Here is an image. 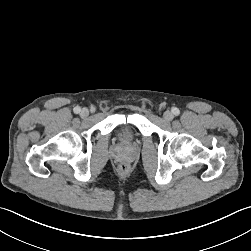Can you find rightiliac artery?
<instances>
[{"label": "right iliac artery", "instance_id": "82829eb1", "mask_svg": "<svg viewBox=\"0 0 251 251\" xmlns=\"http://www.w3.org/2000/svg\"><path fill=\"white\" fill-rule=\"evenodd\" d=\"M74 113H79L81 111V108L79 106H76L74 109Z\"/></svg>", "mask_w": 251, "mask_h": 251}]
</instances>
